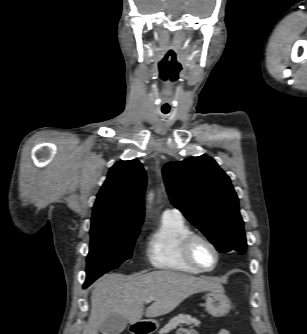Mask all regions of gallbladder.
<instances>
[{
  "mask_svg": "<svg viewBox=\"0 0 307 334\" xmlns=\"http://www.w3.org/2000/svg\"><path fill=\"white\" fill-rule=\"evenodd\" d=\"M128 325V320L120 314L113 313L100 324L102 334H120Z\"/></svg>",
  "mask_w": 307,
  "mask_h": 334,
  "instance_id": "bac80fb5",
  "label": "gallbladder"
}]
</instances>
